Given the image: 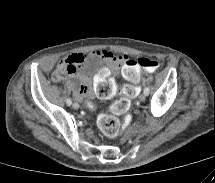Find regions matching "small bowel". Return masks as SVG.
<instances>
[{
	"label": "small bowel",
	"mask_w": 215,
	"mask_h": 183,
	"mask_svg": "<svg viewBox=\"0 0 215 183\" xmlns=\"http://www.w3.org/2000/svg\"><path fill=\"white\" fill-rule=\"evenodd\" d=\"M95 54L103 58H106L108 60L115 61L117 65H121V66H124L125 63L129 60L127 55L115 56L113 53L105 49L98 50ZM85 58H86L85 54L75 53L67 56L60 62V65H66L70 69L71 73L68 76L77 77L76 80L72 82V84L75 90V97L79 100H82L86 95L87 96L91 95L87 91L91 84V79L86 75H79V71H78L79 64ZM54 78H55V74H54ZM60 79H56V80H60ZM111 79H112V71L110 67L106 65H101L97 67L95 71V75L92 79V89L94 91L96 98L100 100H105L109 98V96H111L113 90L115 92V85L113 81H111Z\"/></svg>",
	"instance_id": "c3829d8e"
}]
</instances>
